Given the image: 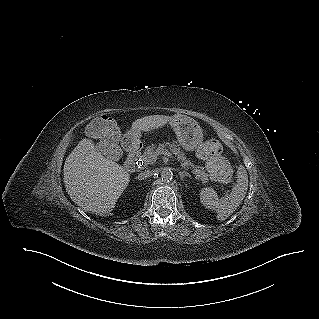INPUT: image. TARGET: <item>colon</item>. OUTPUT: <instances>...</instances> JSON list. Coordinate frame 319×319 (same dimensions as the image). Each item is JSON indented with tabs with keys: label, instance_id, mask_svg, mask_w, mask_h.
Instances as JSON below:
<instances>
[{
	"label": "colon",
	"instance_id": "5ec220e1",
	"mask_svg": "<svg viewBox=\"0 0 319 319\" xmlns=\"http://www.w3.org/2000/svg\"><path fill=\"white\" fill-rule=\"evenodd\" d=\"M85 132L89 136L103 140V149L111 151L113 159L120 160L123 158V149L116 147L120 144L122 135L109 116H100L91 125L86 127ZM200 152L206 160L210 175L215 180L226 182L230 179V168L222 155V145L216 138L206 141L201 146Z\"/></svg>",
	"mask_w": 319,
	"mask_h": 319
}]
</instances>
